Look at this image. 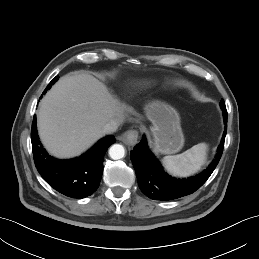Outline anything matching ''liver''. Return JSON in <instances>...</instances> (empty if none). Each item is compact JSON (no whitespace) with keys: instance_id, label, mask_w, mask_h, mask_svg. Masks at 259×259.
<instances>
[{"instance_id":"obj_1","label":"liver","mask_w":259,"mask_h":259,"mask_svg":"<svg viewBox=\"0 0 259 259\" xmlns=\"http://www.w3.org/2000/svg\"><path fill=\"white\" fill-rule=\"evenodd\" d=\"M124 106L106 85L90 74L61 77L44 96L37 126L45 148L55 157L80 155L105 133L111 120L122 122Z\"/></svg>"}]
</instances>
